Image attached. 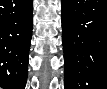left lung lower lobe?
Masks as SVG:
<instances>
[{
	"instance_id": "1",
	"label": "left lung lower lobe",
	"mask_w": 107,
	"mask_h": 89,
	"mask_svg": "<svg viewBox=\"0 0 107 89\" xmlns=\"http://www.w3.org/2000/svg\"><path fill=\"white\" fill-rule=\"evenodd\" d=\"M65 89H107V0H62Z\"/></svg>"
}]
</instances>
